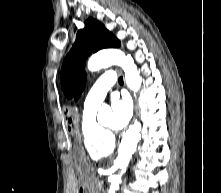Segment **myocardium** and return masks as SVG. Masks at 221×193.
Here are the masks:
<instances>
[{"mask_svg":"<svg viewBox=\"0 0 221 193\" xmlns=\"http://www.w3.org/2000/svg\"><path fill=\"white\" fill-rule=\"evenodd\" d=\"M100 127L106 134H111L114 131L113 128L107 127L104 124H100Z\"/></svg>","mask_w":221,"mask_h":193,"instance_id":"f54148a6","label":"myocardium"}]
</instances>
